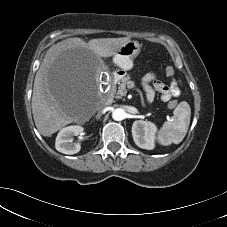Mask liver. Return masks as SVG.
Instances as JSON below:
<instances>
[{
  "instance_id": "liver-1",
  "label": "liver",
  "mask_w": 227,
  "mask_h": 227,
  "mask_svg": "<svg viewBox=\"0 0 227 227\" xmlns=\"http://www.w3.org/2000/svg\"><path fill=\"white\" fill-rule=\"evenodd\" d=\"M130 37L96 38L88 43L68 38L52 45L38 69L33 86L32 113L37 130L51 136L79 120L80 99L98 86L101 57H111ZM70 73L68 85L62 82Z\"/></svg>"
}]
</instances>
